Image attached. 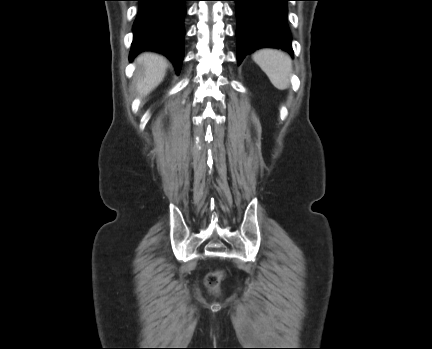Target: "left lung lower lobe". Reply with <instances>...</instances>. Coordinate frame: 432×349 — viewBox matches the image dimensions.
<instances>
[{
    "label": "left lung lower lobe",
    "instance_id": "0a47b994",
    "mask_svg": "<svg viewBox=\"0 0 432 349\" xmlns=\"http://www.w3.org/2000/svg\"><path fill=\"white\" fill-rule=\"evenodd\" d=\"M236 2L238 64L263 47L282 48L293 55L287 26L289 0H233Z\"/></svg>",
    "mask_w": 432,
    "mask_h": 349
}]
</instances>
